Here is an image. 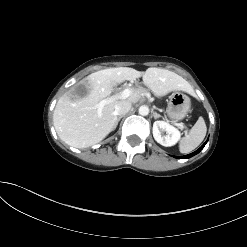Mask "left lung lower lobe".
<instances>
[{"label": "left lung lower lobe", "instance_id": "left-lung-lower-lobe-1", "mask_svg": "<svg viewBox=\"0 0 247 247\" xmlns=\"http://www.w3.org/2000/svg\"><path fill=\"white\" fill-rule=\"evenodd\" d=\"M207 141H208V139H207ZM207 141L198 150H196L195 152H193L191 154H188L186 156H178V157L175 156V157L179 158V159L190 158V157L196 155L197 153H199L204 148V146L206 145Z\"/></svg>", "mask_w": 247, "mask_h": 247}]
</instances>
